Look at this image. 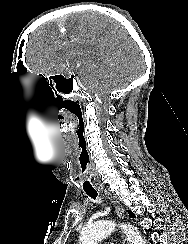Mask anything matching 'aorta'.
<instances>
[{"instance_id": "1", "label": "aorta", "mask_w": 188, "mask_h": 244, "mask_svg": "<svg viewBox=\"0 0 188 244\" xmlns=\"http://www.w3.org/2000/svg\"><path fill=\"white\" fill-rule=\"evenodd\" d=\"M121 227L126 234L129 244H143V238L137 228L130 224H117L114 221H103L81 230L80 244H98L100 240L110 235L116 227Z\"/></svg>"}]
</instances>
